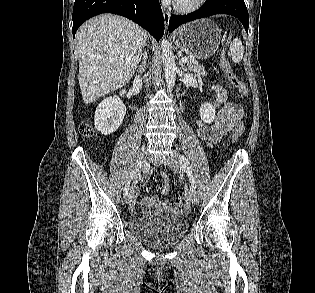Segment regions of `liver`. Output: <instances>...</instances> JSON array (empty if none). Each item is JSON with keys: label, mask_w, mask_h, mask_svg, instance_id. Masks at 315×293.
I'll return each mask as SVG.
<instances>
[{"label": "liver", "mask_w": 315, "mask_h": 293, "mask_svg": "<svg viewBox=\"0 0 315 293\" xmlns=\"http://www.w3.org/2000/svg\"><path fill=\"white\" fill-rule=\"evenodd\" d=\"M147 34L132 21L111 14L83 24L76 33L79 85L85 104L125 86L133 77Z\"/></svg>", "instance_id": "6515ba94"}]
</instances>
